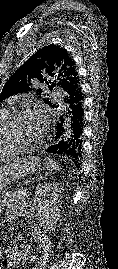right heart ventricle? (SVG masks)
I'll use <instances>...</instances> for the list:
<instances>
[{"instance_id": "1", "label": "right heart ventricle", "mask_w": 118, "mask_h": 269, "mask_svg": "<svg viewBox=\"0 0 118 269\" xmlns=\"http://www.w3.org/2000/svg\"><path fill=\"white\" fill-rule=\"evenodd\" d=\"M9 113L10 112L6 108H0V157L10 156L21 152L20 148L5 145L1 138V126Z\"/></svg>"}]
</instances>
